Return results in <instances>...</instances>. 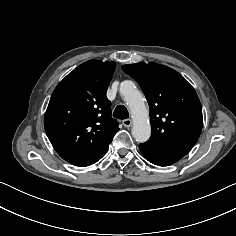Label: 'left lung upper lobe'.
Returning a JSON list of instances; mask_svg holds the SVG:
<instances>
[{"instance_id":"obj_1","label":"left lung upper lobe","mask_w":236,"mask_h":236,"mask_svg":"<svg viewBox=\"0 0 236 236\" xmlns=\"http://www.w3.org/2000/svg\"><path fill=\"white\" fill-rule=\"evenodd\" d=\"M143 90L150 109L149 144L195 145L203 126L202 106L191 84L175 70L151 62L122 66Z\"/></svg>"}]
</instances>
